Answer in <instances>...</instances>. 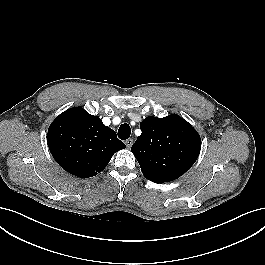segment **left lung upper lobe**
<instances>
[{
	"label": "left lung upper lobe",
	"mask_w": 265,
	"mask_h": 265,
	"mask_svg": "<svg viewBox=\"0 0 265 265\" xmlns=\"http://www.w3.org/2000/svg\"><path fill=\"white\" fill-rule=\"evenodd\" d=\"M140 129L142 134L131 151L146 179L155 183L173 181L197 160L201 149L200 136L180 116H149L140 123Z\"/></svg>",
	"instance_id": "1"
}]
</instances>
